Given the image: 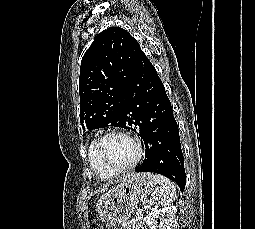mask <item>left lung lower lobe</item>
<instances>
[{"instance_id":"1","label":"left lung lower lobe","mask_w":255,"mask_h":229,"mask_svg":"<svg viewBox=\"0 0 255 229\" xmlns=\"http://www.w3.org/2000/svg\"><path fill=\"white\" fill-rule=\"evenodd\" d=\"M124 120L145 144V158L136 172H155L186 184L179 130L161 79L144 53L124 92Z\"/></svg>"}]
</instances>
